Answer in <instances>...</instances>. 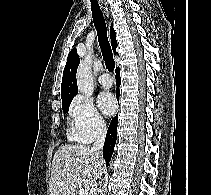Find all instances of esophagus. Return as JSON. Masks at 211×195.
Instances as JSON below:
<instances>
[{"label":"esophagus","mask_w":211,"mask_h":195,"mask_svg":"<svg viewBox=\"0 0 211 195\" xmlns=\"http://www.w3.org/2000/svg\"><path fill=\"white\" fill-rule=\"evenodd\" d=\"M104 9H105V13H106V15H107V17H108V19H109V10H108V5H106V4H105Z\"/></svg>","instance_id":"1"}]
</instances>
